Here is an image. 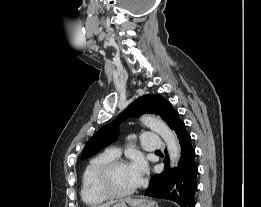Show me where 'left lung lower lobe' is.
Returning <instances> with one entry per match:
<instances>
[{
  "label": "left lung lower lobe",
  "instance_id": "1",
  "mask_svg": "<svg viewBox=\"0 0 261 207\" xmlns=\"http://www.w3.org/2000/svg\"><path fill=\"white\" fill-rule=\"evenodd\" d=\"M181 147L178 167L168 170V159H164L165 170L151 177L145 196L171 200L181 207H195L198 167L195 163V150L191 137L181 120L174 129Z\"/></svg>",
  "mask_w": 261,
  "mask_h": 207
}]
</instances>
